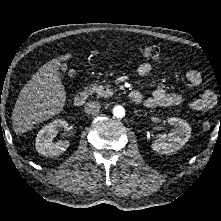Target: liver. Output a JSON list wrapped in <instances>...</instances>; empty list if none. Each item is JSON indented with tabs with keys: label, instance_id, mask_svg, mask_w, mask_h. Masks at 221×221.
Segmentation results:
<instances>
[{
	"label": "liver",
	"instance_id": "1",
	"mask_svg": "<svg viewBox=\"0 0 221 221\" xmlns=\"http://www.w3.org/2000/svg\"><path fill=\"white\" fill-rule=\"evenodd\" d=\"M70 57L71 54H66L50 60L22 88L12 113V125L17 135L30 131L62 111L66 91L58 70L60 62Z\"/></svg>",
	"mask_w": 221,
	"mask_h": 221
}]
</instances>
